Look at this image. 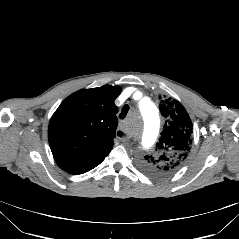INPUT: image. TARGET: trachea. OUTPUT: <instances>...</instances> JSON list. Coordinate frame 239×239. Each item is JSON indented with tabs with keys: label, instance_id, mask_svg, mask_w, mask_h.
<instances>
[{
	"label": "trachea",
	"instance_id": "1",
	"mask_svg": "<svg viewBox=\"0 0 239 239\" xmlns=\"http://www.w3.org/2000/svg\"><path fill=\"white\" fill-rule=\"evenodd\" d=\"M128 111H129V106H128V105H125V106L122 108L121 113L119 114V118H120V119H124V118L126 117Z\"/></svg>",
	"mask_w": 239,
	"mask_h": 239
}]
</instances>
